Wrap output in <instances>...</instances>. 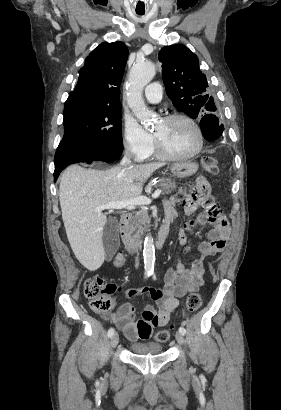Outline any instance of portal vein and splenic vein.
I'll return each instance as SVG.
<instances>
[{"label":"portal vein and splenic vein","mask_w":281,"mask_h":410,"mask_svg":"<svg viewBox=\"0 0 281 410\" xmlns=\"http://www.w3.org/2000/svg\"><path fill=\"white\" fill-rule=\"evenodd\" d=\"M162 193L161 189H157L153 194H152V199H156L160 196ZM151 198H148L146 196H138L133 199L129 200H124V201H118V202H109L103 206L95 208V212H101L103 210L107 209H116V210H121V209H133L136 206L140 205H149L152 202Z\"/></svg>","instance_id":"obj_1"}]
</instances>
